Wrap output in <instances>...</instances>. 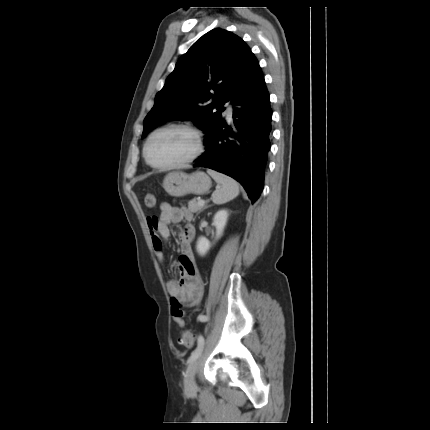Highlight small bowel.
Here are the masks:
<instances>
[{"mask_svg": "<svg viewBox=\"0 0 430 430\" xmlns=\"http://www.w3.org/2000/svg\"><path fill=\"white\" fill-rule=\"evenodd\" d=\"M160 210L158 217L148 218L147 221L154 253L160 262L164 261L163 240L170 236V224L188 222L179 231L180 256L172 266L177 270L179 279L167 282L171 295L172 319L183 330L186 323L182 307L198 306L204 294V282L191 248L195 236V229L189 223L192 213L185 207L171 206L168 203H163Z\"/></svg>", "mask_w": 430, "mask_h": 430, "instance_id": "small-bowel-1", "label": "small bowel"}]
</instances>
